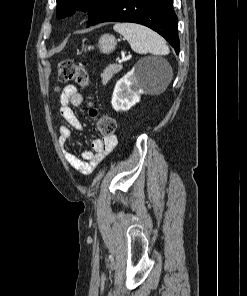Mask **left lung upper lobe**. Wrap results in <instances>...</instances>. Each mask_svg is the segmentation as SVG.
Returning <instances> with one entry per match:
<instances>
[{"label":"left lung upper lobe","mask_w":247,"mask_h":296,"mask_svg":"<svg viewBox=\"0 0 247 296\" xmlns=\"http://www.w3.org/2000/svg\"><path fill=\"white\" fill-rule=\"evenodd\" d=\"M107 0H57V17L64 18L76 10L88 12L89 18L96 14Z\"/></svg>","instance_id":"1"}]
</instances>
